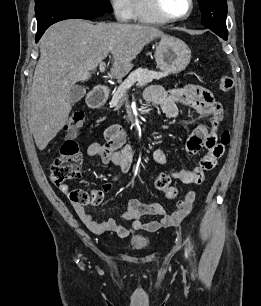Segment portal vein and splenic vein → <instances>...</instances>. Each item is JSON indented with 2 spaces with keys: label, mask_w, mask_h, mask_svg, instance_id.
I'll return each instance as SVG.
<instances>
[{
  "label": "portal vein and splenic vein",
  "mask_w": 261,
  "mask_h": 306,
  "mask_svg": "<svg viewBox=\"0 0 261 306\" xmlns=\"http://www.w3.org/2000/svg\"><path fill=\"white\" fill-rule=\"evenodd\" d=\"M105 67H106V64L103 61L100 62L99 70H100L101 73H103L105 71Z\"/></svg>",
  "instance_id": "18ae733b"
}]
</instances>
